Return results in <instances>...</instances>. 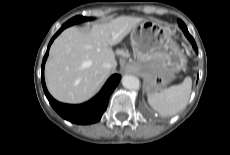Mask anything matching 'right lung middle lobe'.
Instances as JSON below:
<instances>
[{"label":"right lung middle lobe","instance_id":"obj_1","mask_svg":"<svg viewBox=\"0 0 230 155\" xmlns=\"http://www.w3.org/2000/svg\"><path fill=\"white\" fill-rule=\"evenodd\" d=\"M92 19L93 18H90V17L76 16V17H73L72 19L68 20L63 25V27L66 28V27H69V26H71L73 24L84 22V21H88V20H92Z\"/></svg>","mask_w":230,"mask_h":155}]
</instances>
